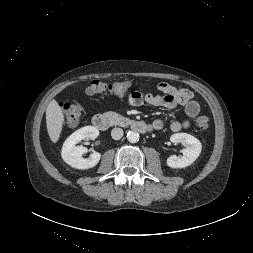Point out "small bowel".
Here are the masks:
<instances>
[{"label": "small bowel", "instance_id": "1", "mask_svg": "<svg viewBox=\"0 0 253 253\" xmlns=\"http://www.w3.org/2000/svg\"><path fill=\"white\" fill-rule=\"evenodd\" d=\"M162 95L146 94L140 92L131 93L129 100L134 106H142L147 103L157 107H165L173 109L177 106L184 107L188 118H194L200 112L198 102L193 99V93L185 88H176L166 82L159 83L157 86ZM152 129L158 130L162 127L161 120H155L151 124ZM190 127V120L178 121L174 120L171 123V129L174 132H179L182 129Z\"/></svg>", "mask_w": 253, "mask_h": 253}]
</instances>
